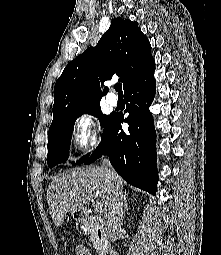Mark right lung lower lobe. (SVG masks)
Returning <instances> with one entry per match:
<instances>
[{
	"mask_svg": "<svg viewBox=\"0 0 221 255\" xmlns=\"http://www.w3.org/2000/svg\"><path fill=\"white\" fill-rule=\"evenodd\" d=\"M155 63L152 59L139 75L124 89L127 102L123 114H112L103 131L101 143L84 161L90 164L108 155L116 172L129 184L153 195L157 191L156 132L149 111L155 95ZM129 124L127 132L121 123Z\"/></svg>",
	"mask_w": 221,
	"mask_h": 255,
	"instance_id": "obj_1",
	"label": "right lung lower lobe"
}]
</instances>
